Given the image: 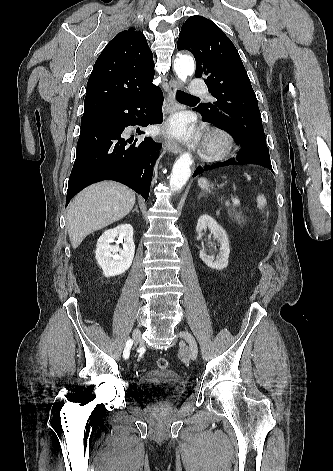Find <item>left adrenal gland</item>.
<instances>
[{"label":"left adrenal gland","instance_id":"obj_1","mask_svg":"<svg viewBox=\"0 0 333 471\" xmlns=\"http://www.w3.org/2000/svg\"><path fill=\"white\" fill-rule=\"evenodd\" d=\"M205 196L204 193H200L199 198Z\"/></svg>","mask_w":333,"mask_h":471}]
</instances>
